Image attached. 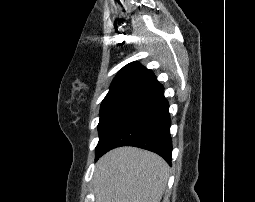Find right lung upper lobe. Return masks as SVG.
I'll list each match as a JSON object with an SVG mask.
<instances>
[{"mask_svg":"<svg viewBox=\"0 0 255 202\" xmlns=\"http://www.w3.org/2000/svg\"><path fill=\"white\" fill-rule=\"evenodd\" d=\"M164 98V88L152 71L138 62L123 67L114 78L101 104L100 115L113 112H139Z\"/></svg>","mask_w":255,"mask_h":202,"instance_id":"cb5924a9","label":"right lung upper lobe"}]
</instances>
